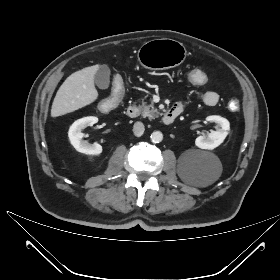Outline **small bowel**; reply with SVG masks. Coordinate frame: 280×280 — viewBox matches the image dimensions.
<instances>
[{
    "instance_id": "small-bowel-1",
    "label": "small bowel",
    "mask_w": 280,
    "mask_h": 280,
    "mask_svg": "<svg viewBox=\"0 0 280 280\" xmlns=\"http://www.w3.org/2000/svg\"><path fill=\"white\" fill-rule=\"evenodd\" d=\"M201 99L206 106H215L219 101V96L214 91H206L203 93ZM174 107L182 108L180 103L175 104Z\"/></svg>"
}]
</instances>
